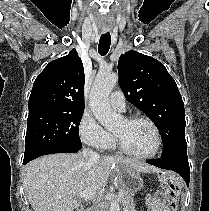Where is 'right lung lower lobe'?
Wrapping results in <instances>:
<instances>
[{
    "mask_svg": "<svg viewBox=\"0 0 209 211\" xmlns=\"http://www.w3.org/2000/svg\"><path fill=\"white\" fill-rule=\"evenodd\" d=\"M79 150H80L79 148H74V147H58V148H55V149H50L48 151H45V152L39 154L38 156L34 157L33 159H35L37 157H40V156H43V155H46V154H53V153H76ZM28 162L29 161L23 162V164H27Z\"/></svg>",
    "mask_w": 209,
    "mask_h": 211,
    "instance_id": "obj_1",
    "label": "right lung lower lobe"
}]
</instances>
